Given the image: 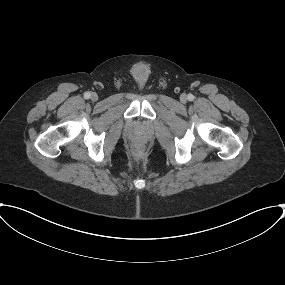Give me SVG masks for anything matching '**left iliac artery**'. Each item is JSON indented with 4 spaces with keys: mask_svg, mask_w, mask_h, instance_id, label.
Returning <instances> with one entry per match:
<instances>
[{
    "mask_svg": "<svg viewBox=\"0 0 285 285\" xmlns=\"http://www.w3.org/2000/svg\"><path fill=\"white\" fill-rule=\"evenodd\" d=\"M188 100H189V101H193V100H194V95L189 94V95H188Z\"/></svg>",
    "mask_w": 285,
    "mask_h": 285,
    "instance_id": "44dca946",
    "label": "left iliac artery"
}]
</instances>
